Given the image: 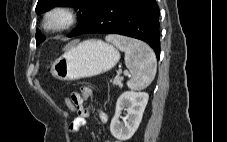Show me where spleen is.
Instances as JSON below:
<instances>
[{
	"label": "spleen",
	"instance_id": "3e777b00",
	"mask_svg": "<svg viewBox=\"0 0 227 142\" xmlns=\"http://www.w3.org/2000/svg\"><path fill=\"white\" fill-rule=\"evenodd\" d=\"M105 40L125 52V65L130 71L127 86L143 90L154 80L157 60L154 51L144 42L121 35L111 34Z\"/></svg>",
	"mask_w": 227,
	"mask_h": 142
}]
</instances>
